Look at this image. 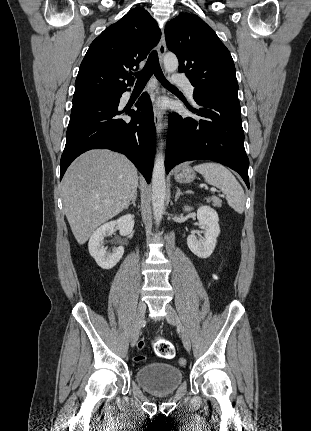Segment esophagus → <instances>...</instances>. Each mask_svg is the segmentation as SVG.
I'll list each match as a JSON object with an SVG mask.
<instances>
[{
	"label": "esophagus",
	"instance_id": "esophagus-1",
	"mask_svg": "<svg viewBox=\"0 0 311 431\" xmlns=\"http://www.w3.org/2000/svg\"><path fill=\"white\" fill-rule=\"evenodd\" d=\"M166 52V43H165V36H164V31L162 32V36H161V40L159 42V46H158V55H159V60L162 63L163 61V57L165 55ZM162 89L159 85H157L155 87V93L154 96L156 98L160 97L162 94ZM154 123H155V127H156V132H157V136L159 137L163 131V123H162V114L159 111L157 104L154 103Z\"/></svg>",
	"mask_w": 311,
	"mask_h": 431
}]
</instances>
